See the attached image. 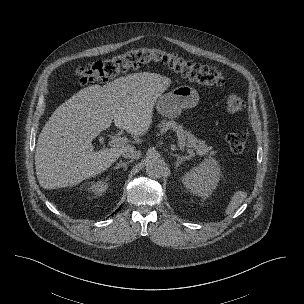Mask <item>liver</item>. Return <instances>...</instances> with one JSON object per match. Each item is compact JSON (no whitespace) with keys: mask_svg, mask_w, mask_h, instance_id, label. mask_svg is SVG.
Returning <instances> with one entry per match:
<instances>
[{"mask_svg":"<svg viewBox=\"0 0 304 304\" xmlns=\"http://www.w3.org/2000/svg\"><path fill=\"white\" fill-rule=\"evenodd\" d=\"M170 84L171 79L160 74L134 73L104 86H88L62 103L38 137L35 168L40 186H73L105 171L132 146L95 152L93 139L112 121L131 135L146 134L156 101Z\"/></svg>","mask_w":304,"mask_h":304,"instance_id":"6515ba94","label":"liver"}]
</instances>
